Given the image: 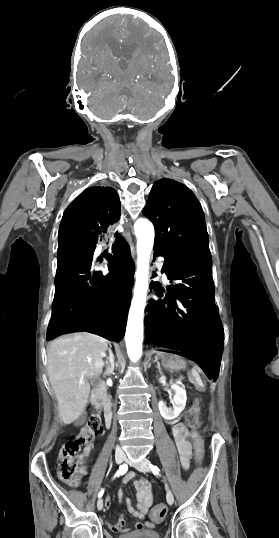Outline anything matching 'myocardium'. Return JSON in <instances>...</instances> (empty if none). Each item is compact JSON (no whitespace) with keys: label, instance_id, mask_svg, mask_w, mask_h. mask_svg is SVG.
Masks as SVG:
<instances>
[{"label":"myocardium","instance_id":"f54148a6","mask_svg":"<svg viewBox=\"0 0 279 538\" xmlns=\"http://www.w3.org/2000/svg\"><path fill=\"white\" fill-rule=\"evenodd\" d=\"M104 237H105V234H103L102 236L99 235V237H98V242L100 243V241H102V240L104 239Z\"/></svg>","mask_w":279,"mask_h":538}]
</instances>
